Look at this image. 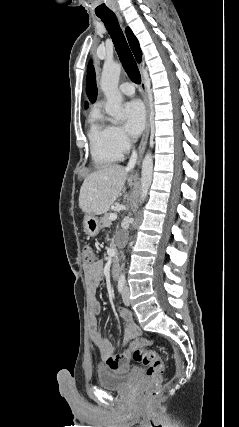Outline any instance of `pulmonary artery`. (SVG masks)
Instances as JSON below:
<instances>
[{
    "mask_svg": "<svg viewBox=\"0 0 239 427\" xmlns=\"http://www.w3.org/2000/svg\"><path fill=\"white\" fill-rule=\"evenodd\" d=\"M121 93L127 96H132L135 92L134 86L129 82H124L119 87Z\"/></svg>",
    "mask_w": 239,
    "mask_h": 427,
    "instance_id": "1",
    "label": "pulmonary artery"
}]
</instances>
